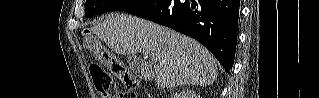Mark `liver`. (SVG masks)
Instances as JSON below:
<instances>
[{
    "label": "liver",
    "instance_id": "liver-1",
    "mask_svg": "<svg viewBox=\"0 0 319 98\" xmlns=\"http://www.w3.org/2000/svg\"><path fill=\"white\" fill-rule=\"evenodd\" d=\"M117 54L148 51L154 62L151 76L158 86H208L218 77L212 54L196 40L170 28L134 16L113 13L92 27Z\"/></svg>",
    "mask_w": 319,
    "mask_h": 98
}]
</instances>
